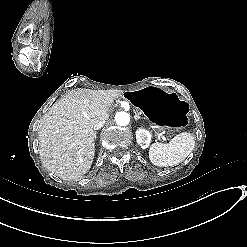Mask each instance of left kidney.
<instances>
[{"label":"left kidney","instance_id":"left-kidney-1","mask_svg":"<svg viewBox=\"0 0 247 247\" xmlns=\"http://www.w3.org/2000/svg\"><path fill=\"white\" fill-rule=\"evenodd\" d=\"M137 143L141 148H146L150 142V133L144 129H138L136 131Z\"/></svg>","mask_w":247,"mask_h":247}]
</instances>
